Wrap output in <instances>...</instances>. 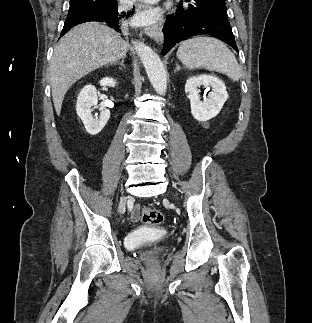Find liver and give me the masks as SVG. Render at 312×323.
<instances>
[{
    "instance_id": "1",
    "label": "liver",
    "mask_w": 312,
    "mask_h": 323,
    "mask_svg": "<svg viewBox=\"0 0 312 323\" xmlns=\"http://www.w3.org/2000/svg\"><path fill=\"white\" fill-rule=\"evenodd\" d=\"M128 42L101 22L79 24L67 32L54 48L50 60V84L57 116L69 88L89 72L126 58Z\"/></svg>"
}]
</instances>
